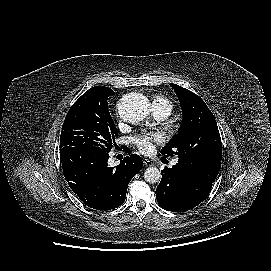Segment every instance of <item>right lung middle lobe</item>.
<instances>
[{
	"instance_id": "right-lung-middle-lobe-1",
	"label": "right lung middle lobe",
	"mask_w": 271,
	"mask_h": 271,
	"mask_svg": "<svg viewBox=\"0 0 271 271\" xmlns=\"http://www.w3.org/2000/svg\"><path fill=\"white\" fill-rule=\"evenodd\" d=\"M108 87L95 86L86 91L69 109L64 120L60 148L73 146L109 153L118 130L108 110V98L114 95Z\"/></svg>"
}]
</instances>
